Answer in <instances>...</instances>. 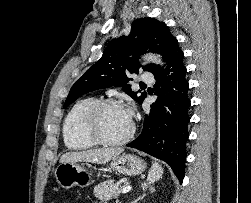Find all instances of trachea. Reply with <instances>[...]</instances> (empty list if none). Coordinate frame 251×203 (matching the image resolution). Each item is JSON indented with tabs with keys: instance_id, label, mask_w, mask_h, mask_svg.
<instances>
[{
	"instance_id": "trachea-1",
	"label": "trachea",
	"mask_w": 251,
	"mask_h": 203,
	"mask_svg": "<svg viewBox=\"0 0 251 203\" xmlns=\"http://www.w3.org/2000/svg\"><path fill=\"white\" fill-rule=\"evenodd\" d=\"M140 85H141V86H144L145 84L142 83V84H140Z\"/></svg>"
}]
</instances>
